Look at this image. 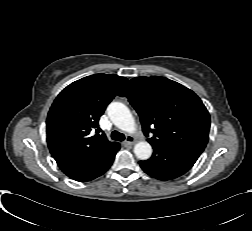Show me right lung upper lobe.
<instances>
[{
	"label": "right lung upper lobe",
	"instance_id": "cb5924a9",
	"mask_svg": "<svg viewBox=\"0 0 252 231\" xmlns=\"http://www.w3.org/2000/svg\"><path fill=\"white\" fill-rule=\"evenodd\" d=\"M125 77L95 74L67 86L47 117V143L59 168L86 182L103 174L120 148L98 125L100 116L126 82Z\"/></svg>",
	"mask_w": 252,
	"mask_h": 231
}]
</instances>
